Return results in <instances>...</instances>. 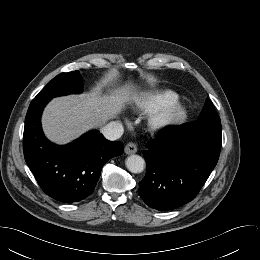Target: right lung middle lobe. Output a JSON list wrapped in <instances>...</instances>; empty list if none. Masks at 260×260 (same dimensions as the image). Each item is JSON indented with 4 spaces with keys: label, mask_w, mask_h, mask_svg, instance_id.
<instances>
[{
    "label": "right lung middle lobe",
    "mask_w": 260,
    "mask_h": 260,
    "mask_svg": "<svg viewBox=\"0 0 260 260\" xmlns=\"http://www.w3.org/2000/svg\"><path fill=\"white\" fill-rule=\"evenodd\" d=\"M82 91L81 76L78 71L61 73L53 78L35 98H53L56 96Z\"/></svg>",
    "instance_id": "right-lung-middle-lobe-1"
}]
</instances>
